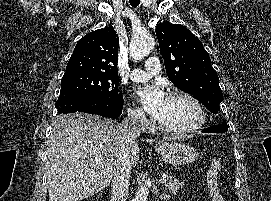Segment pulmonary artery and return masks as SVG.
Segmentation results:
<instances>
[{
	"instance_id": "obj_1",
	"label": "pulmonary artery",
	"mask_w": 271,
	"mask_h": 201,
	"mask_svg": "<svg viewBox=\"0 0 271 201\" xmlns=\"http://www.w3.org/2000/svg\"><path fill=\"white\" fill-rule=\"evenodd\" d=\"M160 73V62L156 57H150L146 60L144 69H134L130 73V79L134 82H143L149 80L152 76Z\"/></svg>"
}]
</instances>
